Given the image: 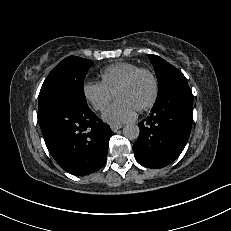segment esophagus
<instances>
[{
  "label": "esophagus",
  "mask_w": 231,
  "mask_h": 231,
  "mask_svg": "<svg viewBox=\"0 0 231 231\" xmlns=\"http://www.w3.org/2000/svg\"><path fill=\"white\" fill-rule=\"evenodd\" d=\"M122 127H123L122 125H111V129L113 132H117Z\"/></svg>",
  "instance_id": "34e87169"
}]
</instances>
